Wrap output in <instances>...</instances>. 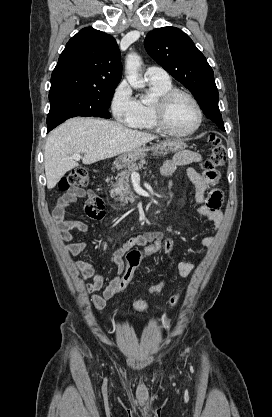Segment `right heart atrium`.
I'll use <instances>...</instances> for the list:
<instances>
[{
	"mask_svg": "<svg viewBox=\"0 0 272 417\" xmlns=\"http://www.w3.org/2000/svg\"><path fill=\"white\" fill-rule=\"evenodd\" d=\"M110 108L114 118L126 125H130L137 117L139 102L133 96L132 89L126 81H121L115 88Z\"/></svg>",
	"mask_w": 272,
	"mask_h": 417,
	"instance_id": "d8ad5b80",
	"label": "right heart atrium"
}]
</instances>
